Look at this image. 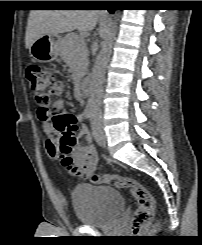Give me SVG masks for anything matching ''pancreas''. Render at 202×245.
Masks as SVG:
<instances>
[{"label":"pancreas","mask_w":202,"mask_h":245,"mask_svg":"<svg viewBox=\"0 0 202 245\" xmlns=\"http://www.w3.org/2000/svg\"><path fill=\"white\" fill-rule=\"evenodd\" d=\"M59 54L70 70L82 77L88 64L85 42L77 34L71 33L64 37L60 44Z\"/></svg>","instance_id":"pancreas-1"}]
</instances>
